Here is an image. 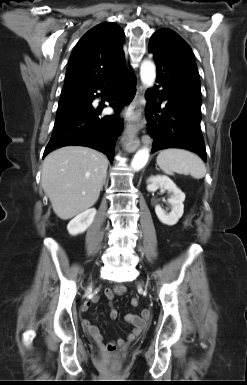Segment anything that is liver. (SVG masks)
Wrapping results in <instances>:
<instances>
[{
	"instance_id": "liver-1",
	"label": "liver",
	"mask_w": 247,
	"mask_h": 385,
	"mask_svg": "<svg viewBox=\"0 0 247 385\" xmlns=\"http://www.w3.org/2000/svg\"><path fill=\"white\" fill-rule=\"evenodd\" d=\"M104 154L83 146H65L46 156L41 185L53 211L68 220L93 206L107 175Z\"/></svg>"
}]
</instances>
